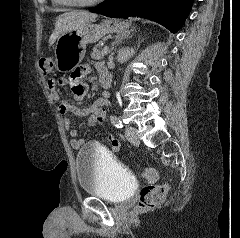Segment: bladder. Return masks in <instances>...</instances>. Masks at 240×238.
I'll use <instances>...</instances> for the list:
<instances>
[{
    "label": "bladder",
    "mask_w": 240,
    "mask_h": 238,
    "mask_svg": "<svg viewBox=\"0 0 240 238\" xmlns=\"http://www.w3.org/2000/svg\"><path fill=\"white\" fill-rule=\"evenodd\" d=\"M76 172L85 194L110 203L128 200L135 190L131 173L107 149L95 144L78 151Z\"/></svg>",
    "instance_id": "1"
}]
</instances>
